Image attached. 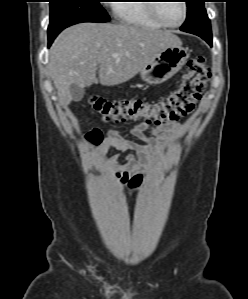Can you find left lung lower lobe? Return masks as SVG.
<instances>
[{"instance_id":"1","label":"left lung lower lobe","mask_w":248,"mask_h":299,"mask_svg":"<svg viewBox=\"0 0 248 299\" xmlns=\"http://www.w3.org/2000/svg\"><path fill=\"white\" fill-rule=\"evenodd\" d=\"M198 34V36L206 40L207 43L212 46V36H208L205 32H199Z\"/></svg>"}]
</instances>
